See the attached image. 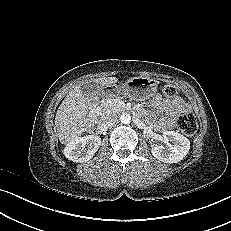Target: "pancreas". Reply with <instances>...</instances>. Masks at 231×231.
Listing matches in <instances>:
<instances>
[{
    "instance_id": "obj_1",
    "label": "pancreas",
    "mask_w": 231,
    "mask_h": 231,
    "mask_svg": "<svg viewBox=\"0 0 231 231\" xmlns=\"http://www.w3.org/2000/svg\"><path fill=\"white\" fill-rule=\"evenodd\" d=\"M120 99H105L101 105L99 106V112L102 116L111 114V113H118L123 110L119 105Z\"/></svg>"
}]
</instances>
